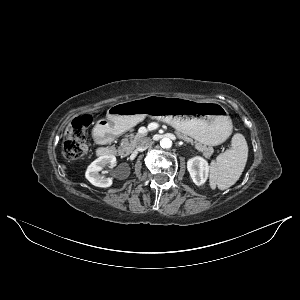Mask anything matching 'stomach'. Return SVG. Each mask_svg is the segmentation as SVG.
<instances>
[{"label": "stomach", "mask_w": 300, "mask_h": 300, "mask_svg": "<svg viewBox=\"0 0 300 300\" xmlns=\"http://www.w3.org/2000/svg\"><path fill=\"white\" fill-rule=\"evenodd\" d=\"M146 116L164 121L197 141L216 146L230 136L232 121L227 110L213 101L149 96L110 107L98 125L110 134L123 133Z\"/></svg>", "instance_id": "0dacf381"}]
</instances>
